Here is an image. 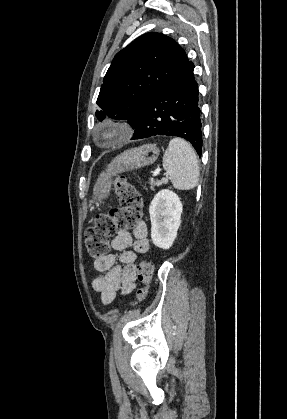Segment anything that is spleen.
<instances>
[{"label": "spleen", "instance_id": "3e777b00", "mask_svg": "<svg viewBox=\"0 0 287 419\" xmlns=\"http://www.w3.org/2000/svg\"><path fill=\"white\" fill-rule=\"evenodd\" d=\"M163 167L173 187L190 190L197 186L199 164L192 146L181 138L170 140L163 156Z\"/></svg>", "mask_w": 287, "mask_h": 419}]
</instances>
